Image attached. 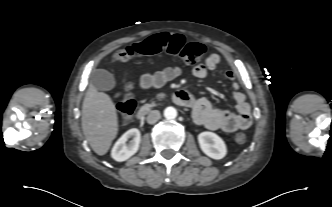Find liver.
<instances>
[{
    "label": "liver",
    "mask_w": 332,
    "mask_h": 207,
    "mask_svg": "<svg viewBox=\"0 0 332 207\" xmlns=\"http://www.w3.org/2000/svg\"><path fill=\"white\" fill-rule=\"evenodd\" d=\"M82 130L93 151L105 155L118 133L116 107L109 95L90 84L82 105Z\"/></svg>",
    "instance_id": "6515ba94"
}]
</instances>
